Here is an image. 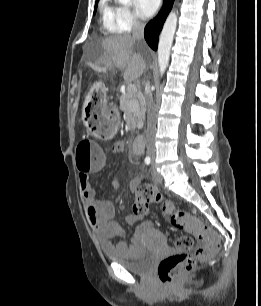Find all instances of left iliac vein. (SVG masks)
Here are the masks:
<instances>
[{
	"label": "left iliac vein",
	"mask_w": 261,
	"mask_h": 306,
	"mask_svg": "<svg viewBox=\"0 0 261 306\" xmlns=\"http://www.w3.org/2000/svg\"><path fill=\"white\" fill-rule=\"evenodd\" d=\"M151 171H152V179H153V181H154L155 183H158V184L162 183L163 178H162L161 174L158 173V172L155 170L154 164L152 165Z\"/></svg>",
	"instance_id": "obj_1"
}]
</instances>
